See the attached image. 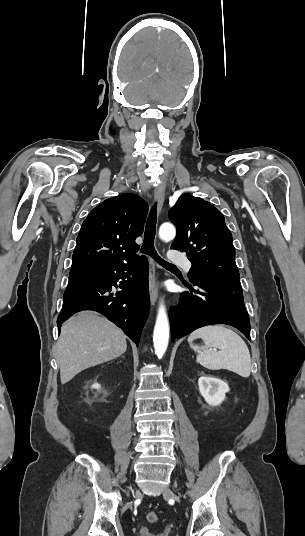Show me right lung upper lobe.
Instances as JSON below:
<instances>
[{
	"mask_svg": "<svg viewBox=\"0 0 305 536\" xmlns=\"http://www.w3.org/2000/svg\"><path fill=\"white\" fill-rule=\"evenodd\" d=\"M147 212V203L135 194L109 198L94 208L78 234L70 276L136 259L135 239L143 232Z\"/></svg>",
	"mask_w": 305,
	"mask_h": 536,
	"instance_id": "right-lung-upper-lobe-1",
	"label": "right lung upper lobe"
}]
</instances>
